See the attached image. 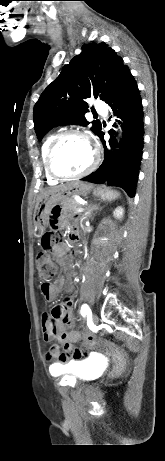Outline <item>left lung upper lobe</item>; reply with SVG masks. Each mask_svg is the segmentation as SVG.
I'll return each mask as SVG.
<instances>
[{
    "label": "left lung upper lobe",
    "instance_id": "obj_1",
    "mask_svg": "<svg viewBox=\"0 0 165 461\" xmlns=\"http://www.w3.org/2000/svg\"><path fill=\"white\" fill-rule=\"evenodd\" d=\"M127 69L123 59L106 43L83 45L82 52L45 88L34 106L38 139L58 125H88L84 114L89 106L84 99L93 96L106 101ZM92 123L91 130L98 135L101 123Z\"/></svg>",
    "mask_w": 165,
    "mask_h": 461
}]
</instances>
